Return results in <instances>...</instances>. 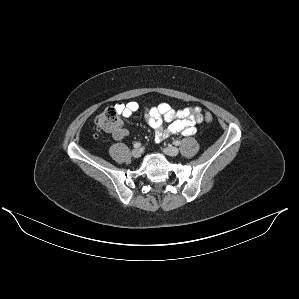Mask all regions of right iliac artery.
I'll list each match as a JSON object with an SVG mask.
<instances>
[{"label":"right iliac artery","mask_w":299,"mask_h":299,"mask_svg":"<svg viewBox=\"0 0 299 299\" xmlns=\"http://www.w3.org/2000/svg\"><path fill=\"white\" fill-rule=\"evenodd\" d=\"M133 147H134V148H139V147H141V143L136 142V143L133 145Z\"/></svg>","instance_id":"obj_1"}]
</instances>
